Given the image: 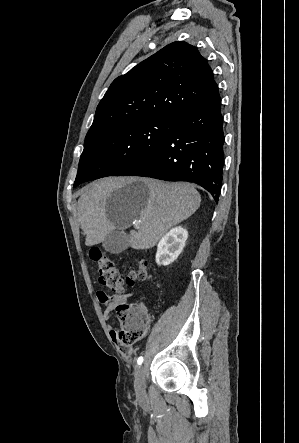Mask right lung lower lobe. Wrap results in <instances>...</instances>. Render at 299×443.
<instances>
[{
	"label": "right lung lower lobe",
	"mask_w": 299,
	"mask_h": 443,
	"mask_svg": "<svg viewBox=\"0 0 299 443\" xmlns=\"http://www.w3.org/2000/svg\"><path fill=\"white\" fill-rule=\"evenodd\" d=\"M171 134L117 176L194 182L218 202L224 166L221 100L216 87L207 97L175 114Z\"/></svg>",
	"instance_id": "obj_1"
}]
</instances>
